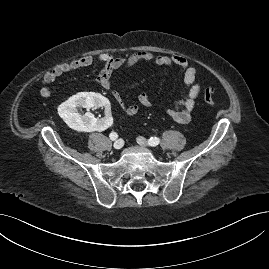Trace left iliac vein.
Segmentation results:
<instances>
[{"label":"left iliac vein","instance_id":"1","mask_svg":"<svg viewBox=\"0 0 269 269\" xmlns=\"http://www.w3.org/2000/svg\"><path fill=\"white\" fill-rule=\"evenodd\" d=\"M137 142H138V144L141 145L142 147H146V146H148L147 141H146V139H145L144 137H138V138H137Z\"/></svg>","mask_w":269,"mask_h":269}]
</instances>
